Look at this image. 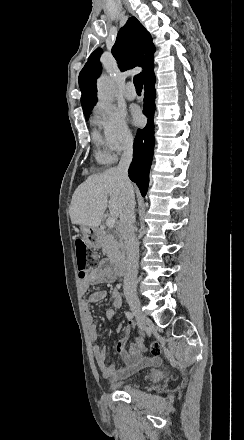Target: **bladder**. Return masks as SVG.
Masks as SVG:
<instances>
[{"label":"bladder","instance_id":"1","mask_svg":"<svg viewBox=\"0 0 244 440\" xmlns=\"http://www.w3.org/2000/svg\"><path fill=\"white\" fill-rule=\"evenodd\" d=\"M139 381H140L139 378H134L131 380L132 383H138ZM110 384L112 387L117 388V389L120 388L122 385V383H117V382H111Z\"/></svg>","mask_w":244,"mask_h":440}]
</instances>
